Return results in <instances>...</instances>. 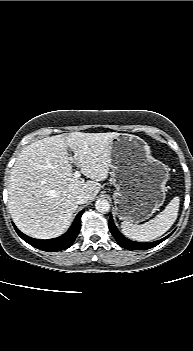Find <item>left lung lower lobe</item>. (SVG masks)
<instances>
[{
	"label": "left lung lower lobe",
	"mask_w": 193,
	"mask_h": 351,
	"mask_svg": "<svg viewBox=\"0 0 193 351\" xmlns=\"http://www.w3.org/2000/svg\"><path fill=\"white\" fill-rule=\"evenodd\" d=\"M109 229L116 241L118 242L119 246L128 249V250H147L152 247L157 246L161 242H163L166 238H168L171 234L168 236L162 238L161 240L155 241V242H150V243H140V242H134L131 241L127 238H125L116 228L112 216L109 219Z\"/></svg>",
	"instance_id": "obj_1"
}]
</instances>
